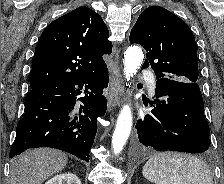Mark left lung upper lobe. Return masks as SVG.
Returning <instances> with one entry per match:
<instances>
[{
  "label": "left lung upper lobe",
  "mask_w": 224,
  "mask_h": 184,
  "mask_svg": "<svg viewBox=\"0 0 224 184\" xmlns=\"http://www.w3.org/2000/svg\"><path fill=\"white\" fill-rule=\"evenodd\" d=\"M130 43L147 51L142 68L151 66L156 78L197 82L198 60L195 38L189 26L170 11L148 7L130 33Z\"/></svg>",
  "instance_id": "left-lung-upper-lobe-1"
}]
</instances>
